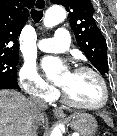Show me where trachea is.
Segmentation results:
<instances>
[{
    "instance_id": "3493384b",
    "label": "trachea",
    "mask_w": 117,
    "mask_h": 136,
    "mask_svg": "<svg viewBox=\"0 0 117 136\" xmlns=\"http://www.w3.org/2000/svg\"><path fill=\"white\" fill-rule=\"evenodd\" d=\"M36 7L41 9V6L38 4V2L36 3ZM31 17L35 22H40V20L43 17V11L42 10H36V9H32L31 10Z\"/></svg>"
}]
</instances>
